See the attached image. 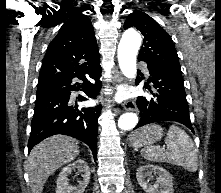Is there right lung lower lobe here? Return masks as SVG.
<instances>
[{"mask_svg": "<svg viewBox=\"0 0 221 193\" xmlns=\"http://www.w3.org/2000/svg\"><path fill=\"white\" fill-rule=\"evenodd\" d=\"M100 72L99 62L88 72L89 76L96 81L95 84L89 82L85 75L77 77L85 82L82 91L90 98L95 99L97 95ZM72 79L58 81L37 89L28 149L30 151L33 146L49 136L65 134L85 142L96 160L98 118L101 107L77 108L75 106L74 108L71 106V91L81 87L78 82L74 84ZM85 100L87 98L79 97V101Z\"/></svg>", "mask_w": 221, "mask_h": 193, "instance_id": "1", "label": "right lung lower lobe"}]
</instances>
